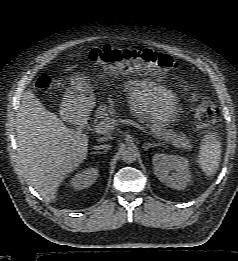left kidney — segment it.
<instances>
[{
	"instance_id": "obj_1",
	"label": "left kidney",
	"mask_w": 238,
	"mask_h": 261,
	"mask_svg": "<svg viewBox=\"0 0 238 261\" xmlns=\"http://www.w3.org/2000/svg\"><path fill=\"white\" fill-rule=\"evenodd\" d=\"M153 168L157 178L170 188L183 190L191 183L189 162L184 157L156 153Z\"/></svg>"
}]
</instances>
